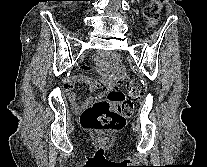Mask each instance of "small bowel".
Here are the masks:
<instances>
[{"label":"small bowel","mask_w":207,"mask_h":167,"mask_svg":"<svg viewBox=\"0 0 207 167\" xmlns=\"http://www.w3.org/2000/svg\"><path fill=\"white\" fill-rule=\"evenodd\" d=\"M119 73L121 75L124 74L123 68H121V67L119 68ZM78 82L88 84L89 87H90V90L93 91V92L105 87L106 83H105L104 79L95 80L91 77L83 76V75H77V76L71 77L66 82L65 90L67 92V96H68L69 101L71 102L74 109L82 110V109H85V108L89 107L94 102L95 97L94 96H89L85 99V101L82 105H79L77 100H76V93L74 91V85Z\"/></svg>","instance_id":"small-bowel-1"}]
</instances>
